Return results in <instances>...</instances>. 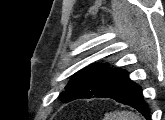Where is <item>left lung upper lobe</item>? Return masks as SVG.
Segmentation results:
<instances>
[{
    "label": "left lung upper lobe",
    "instance_id": "left-lung-upper-lobe-1",
    "mask_svg": "<svg viewBox=\"0 0 165 120\" xmlns=\"http://www.w3.org/2000/svg\"><path fill=\"white\" fill-rule=\"evenodd\" d=\"M127 77L125 70H112L102 65H95L76 73L60 94L63 102L80 98H105L114 92Z\"/></svg>",
    "mask_w": 165,
    "mask_h": 120
}]
</instances>
